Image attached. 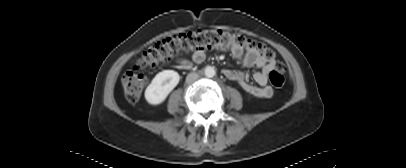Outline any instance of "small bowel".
<instances>
[{
    "label": "small bowel",
    "mask_w": 406,
    "mask_h": 168,
    "mask_svg": "<svg viewBox=\"0 0 406 168\" xmlns=\"http://www.w3.org/2000/svg\"><path fill=\"white\" fill-rule=\"evenodd\" d=\"M232 55L241 61L245 67H256L260 70L252 74V78L257 85H254L247 81V74L242 71L225 69L223 71L224 76L232 81L237 82L241 88L258 98H270L273 94V90L268 86V75L269 72L275 68L276 62L274 60H265L258 51L254 49H243L232 50ZM205 51H196L193 54V60L196 63H201L206 59ZM182 61V60H181Z\"/></svg>",
    "instance_id": "obj_1"
}]
</instances>
